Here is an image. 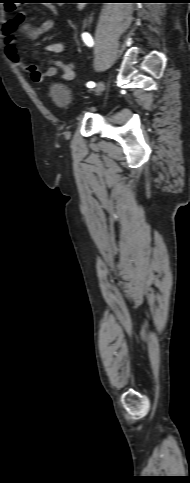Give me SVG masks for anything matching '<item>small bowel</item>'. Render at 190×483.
Masks as SVG:
<instances>
[{
	"mask_svg": "<svg viewBox=\"0 0 190 483\" xmlns=\"http://www.w3.org/2000/svg\"><path fill=\"white\" fill-rule=\"evenodd\" d=\"M50 9L53 14L57 13L55 6H51ZM56 27L57 22L55 20H48L39 26H33L26 21L23 11L18 12L14 18L6 20L2 25L6 56L16 67L27 73L34 82H43L58 71L62 72L61 79L63 81H71L75 77V67L72 63L57 59L49 60V66L45 71H42L37 64H25L23 58L17 52L14 33L19 31L27 38L34 40L41 34L56 29ZM64 50L65 45L62 42H51L44 47V51L49 53H62Z\"/></svg>",
	"mask_w": 190,
	"mask_h": 483,
	"instance_id": "c3829d8e",
	"label": "small bowel"
}]
</instances>
